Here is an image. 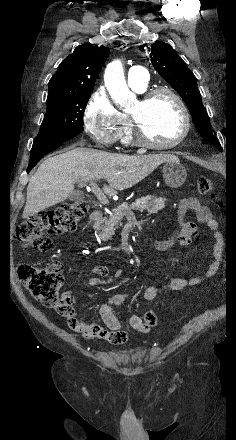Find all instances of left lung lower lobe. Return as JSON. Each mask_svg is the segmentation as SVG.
<instances>
[{
	"mask_svg": "<svg viewBox=\"0 0 236 440\" xmlns=\"http://www.w3.org/2000/svg\"><path fill=\"white\" fill-rule=\"evenodd\" d=\"M202 142L212 144L216 146L219 151H221V145L215 136L204 137Z\"/></svg>",
	"mask_w": 236,
	"mask_h": 440,
	"instance_id": "left-lung-lower-lobe-1",
	"label": "left lung lower lobe"
}]
</instances>
